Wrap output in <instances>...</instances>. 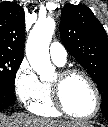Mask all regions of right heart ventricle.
Returning a JSON list of instances; mask_svg holds the SVG:
<instances>
[{"mask_svg": "<svg viewBox=\"0 0 108 127\" xmlns=\"http://www.w3.org/2000/svg\"><path fill=\"white\" fill-rule=\"evenodd\" d=\"M30 110L34 114L44 117H59L61 115L54 106L50 83L42 82L40 95L30 105Z\"/></svg>", "mask_w": 108, "mask_h": 127, "instance_id": "obj_1", "label": "right heart ventricle"}]
</instances>
